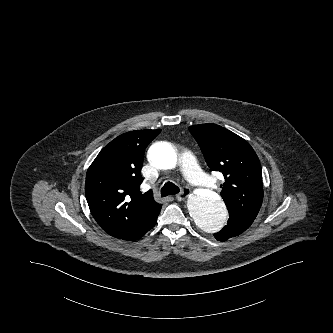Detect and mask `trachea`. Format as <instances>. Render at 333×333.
I'll return each instance as SVG.
<instances>
[{"label":"trachea","mask_w":333,"mask_h":333,"mask_svg":"<svg viewBox=\"0 0 333 333\" xmlns=\"http://www.w3.org/2000/svg\"><path fill=\"white\" fill-rule=\"evenodd\" d=\"M180 191L179 187L173 184L172 182H166L164 186L161 188V195L168 196L172 194H176Z\"/></svg>","instance_id":"1"}]
</instances>
